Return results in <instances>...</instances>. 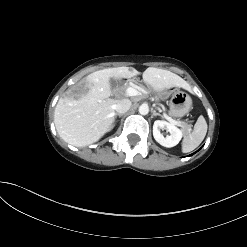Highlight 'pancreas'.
<instances>
[{"label":"pancreas","instance_id":"obj_1","mask_svg":"<svg viewBox=\"0 0 247 247\" xmlns=\"http://www.w3.org/2000/svg\"><path fill=\"white\" fill-rule=\"evenodd\" d=\"M140 88H142V87L140 86ZM162 109L165 110L164 107ZM178 123H179V126L182 127V129L184 130V132L185 133H188L190 126L187 123H185V122H178Z\"/></svg>","mask_w":247,"mask_h":247}]
</instances>
